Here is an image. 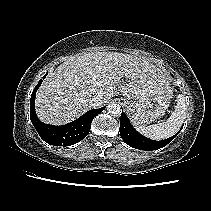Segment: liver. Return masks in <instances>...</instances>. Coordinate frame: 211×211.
Listing matches in <instances>:
<instances>
[{
    "mask_svg": "<svg viewBox=\"0 0 211 211\" xmlns=\"http://www.w3.org/2000/svg\"><path fill=\"white\" fill-rule=\"evenodd\" d=\"M165 73L146 59L118 52H93L69 59L48 74L36 95V113L48 124L62 125L121 93L144 99L168 87Z\"/></svg>",
    "mask_w": 211,
    "mask_h": 211,
    "instance_id": "1",
    "label": "liver"
}]
</instances>
